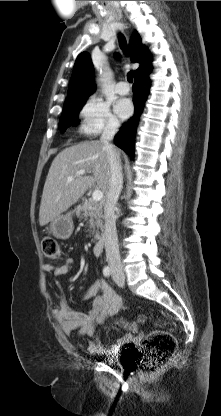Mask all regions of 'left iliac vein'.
<instances>
[{
  "label": "left iliac vein",
  "instance_id": "4c4485c4",
  "mask_svg": "<svg viewBox=\"0 0 221 416\" xmlns=\"http://www.w3.org/2000/svg\"><path fill=\"white\" fill-rule=\"evenodd\" d=\"M113 279H114V281L116 282V284L118 286H120V287L124 286L125 278L122 274L121 275H115V273H113Z\"/></svg>",
  "mask_w": 221,
  "mask_h": 416
}]
</instances>
